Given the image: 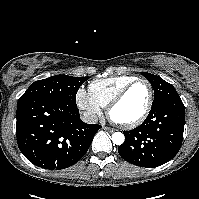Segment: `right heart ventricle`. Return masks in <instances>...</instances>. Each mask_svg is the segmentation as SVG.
Segmentation results:
<instances>
[{
    "mask_svg": "<svg viewBox=\"0 0 199 199\" xmlns=\"http://www.w3.org/2000/svg\"><path fill=\"white\" fill-rule=\"evenodd\" d=\"M134 79L132 76L123 75L95 80L89 85V93L102 107H106Z\"/></svg>",
    "mask_w": 199,
    "mask_h": 199,
    "instance_id": "obj_1",
    "label": "right heart ventricle"
}]
</instances>
